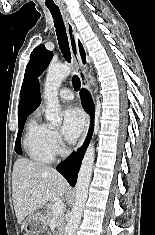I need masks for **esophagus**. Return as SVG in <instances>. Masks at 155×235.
<instances>
[{
	"instance_id": "34e87169",
	"label": "esophagus",
	"mask_w": 155,
	"mask_h": 235,
	"mask_svg": "<svg viewBox=\"0 0 155 235\" xmlns=\"http://www.w3.org/2000/svg\"><path fill=\"white\" fill-rule=\"evenodd\" d=\"M61 13H62L64 23L66 26L69 47H70L71 55H72V58H73V61L75 64L76 73L81 80V86L83 88H87V85L82 78L84 65L82 63V59H81V56H80L79 50H78V44H77V39H76V28H75L69 14L67 13V11L65 9H62ZM85 116H86V122H85V126H84V129L82 132L80 142H79V146H81L83 144V142L87 136L89 126H90V116L88 113H85Z\"/></svg>"
}]
</instances>
